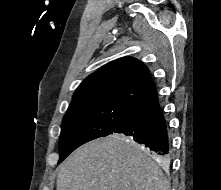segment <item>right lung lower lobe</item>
Wrapping results in <instances>:
<instances>
[{
    "mask_svg": "<svg viewBox=\"0 0 221 190\" xmlns=\"http://www.w3.org/2000/svg\"><path fill=\"white\" fill-rule=\"evenodd\" d=\"M113 133L133 137L160 158L170 157L169 126L158 95L135 108Z\"/></svg>",
    "mask_w": 221,
    "mask_h": 190,
    "instance_id": "98d812e1",
    "label": "right lung lower lobe"
}]
</instances>
